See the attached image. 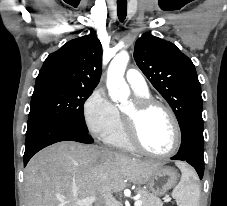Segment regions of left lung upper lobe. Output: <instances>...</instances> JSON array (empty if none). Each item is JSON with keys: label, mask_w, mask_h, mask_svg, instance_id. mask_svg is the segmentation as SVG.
Returning a JSON list of instances; mask_svg holds the SVG:
<instances>
[{"label": "left lung upper lobe", "mask_w": 227, "mask_h": 206, "mask_svg": "<svg viewBox=\"0 0 227 206\" xmlns=\"http://www.w3.org/2000/svg\"><path fill=\"white\" fill-rule=\"evenodd\" d=\"M134 59L173 109L182 137L192 130L203 132L201 86L191 59L150 33L136 41Z\"/></svg>", "instance_id": "5c2ea615"}]
</instances>
